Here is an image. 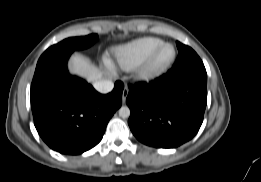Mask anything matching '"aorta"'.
<instances>
[{"label":"aorta","instance_id":"aorta-1","mask_svg":"<svg viewBox=\"0 0 261 182\" xmlns=\"http://www.w3.org/2000/svg\"><path fill=\"white\" fill-rule=\"evenodd\" d=\"M130 113H131L130 109L127 106H122L119 109V116L122 118H128L130 116Z\"/></svg>","mask_w":261,"mask_h":182}]
</instances>
